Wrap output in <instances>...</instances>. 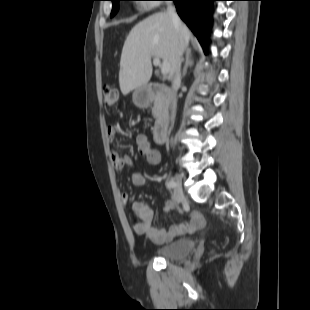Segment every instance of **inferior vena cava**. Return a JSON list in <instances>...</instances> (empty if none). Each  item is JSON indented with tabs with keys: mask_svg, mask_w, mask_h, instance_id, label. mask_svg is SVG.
Returning <instances> with one entry per match:
<instances>
[{
	"mask_svg": "<svg viewBox=\"0 0 310 310\" xmlns=\"http://www.w3.org/2000/svg\"><path fill=\"white\" fill-rule=\"evenodd\" d=\"M167 13L172 19V22L174 26L179 30L181 27V21L175 11V8L169 3L167 8ZM181 53L178 58L177 67L175 70L173 82H172V91H173V97H172V112H171V119L173 120L175 117V108H176V91L178 86L181 83V74H180V66H181Z\"/></svg>",
	"mask_w": 310,
	"mask_h": 310,
	"instance_id": "1",
	"label": "inferior vena cava"
}]
</instances>
